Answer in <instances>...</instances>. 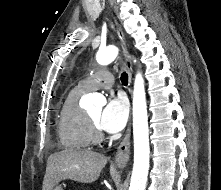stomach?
Segmentation results:
<instances>
[{
  "label": "stomach",
  "mask_w": 221,
  "mask_h": 190,
  "mask_svg": "<svg viewBox=\"0 0 221 190\" xmlns=\"http://www.w3.org/2000/svg\"><path fill=\"white\" fill-rule=\"evenodd\" d=\"M53 190H63L61 186H56Z\"/></svg>",
  "instance_id": "1"
}]
</instances>
